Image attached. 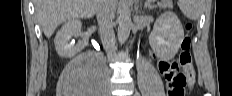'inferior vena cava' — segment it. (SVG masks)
Segmentation results:
<instances>
[{"mask_svg":"<svg viewBox=\"0 0 232 96\" xmlns=\"http://www.w3.org/2000/svg\"><path fill=\"white\" fill-rule=\"evenodd\" d=\"M116 0H98L96 8L99 32L104 49L109 56L115 51V34L113 19L115 17Z\"/></svg>","mask_w":232,"mask_h":96,"instance_id":"obj_1","label":"inferior vena cava"}]
</instances>
